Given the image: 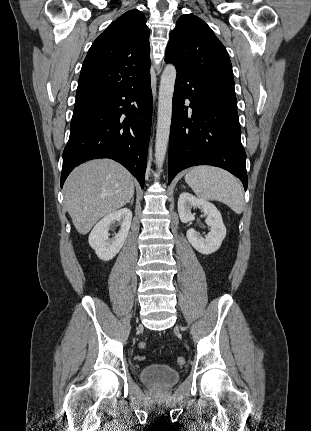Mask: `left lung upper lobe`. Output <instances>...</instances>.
<instances>
[{"label":"left lung upper lobe","instance_id":"obj_1","mask_svg":"<svg viewBox=\"0 0 311 431\" xmlns=\"http://www.w3.org/2000/svg\"><path fill=\"white\" fill-rule=\"evenodd\" d=\"M165 61L201 79L234 85L226 48L212 29L193 14L182 15L176 22Z\"/></svg>","mask_w":311,"mask_h":431}]
</instances>
